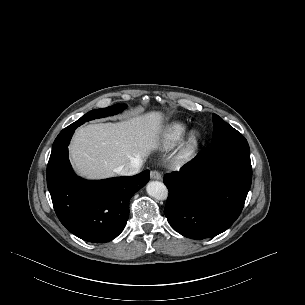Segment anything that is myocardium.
<instances>
[{"label": "myocardium", "mask_w": 305, "mask_h": 305, "mask_svg": "<svg viewBox=\"0 0 305 305\" xmlns=\"http://www.w3.org/2000/svg\"><path fill=\"white\" fill-rule=\"evenodd\" d=\"M199 144V136L196 133H191L186 141L185 149L187 151L194 150Z\"/></svg>", "instance_id": "f54148a6"}]
</instances>
